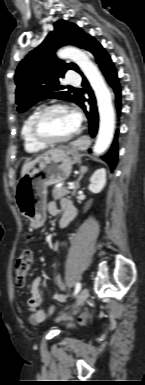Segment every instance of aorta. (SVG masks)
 <instances>
[{
  "instance_id": "762f6f07",
  "label": "aorta",
  "mask_w": 145,
  "mask_h": 385,
  "mask_svg": "<svg viewBox=\"0 0 145 385\" xmlns=\"http://www.w3.org/2000/svg\"><path fill=\"white\" fill-rule=\"evenodd\" d=\"M57 56L74 61L87 77L94 90L100 115V125L93 152L100 155L107 150L114 134L115 113L111 93L98 68L83 51L73 46H66L57 52Z\"/></svg>"
}]
</instances>
